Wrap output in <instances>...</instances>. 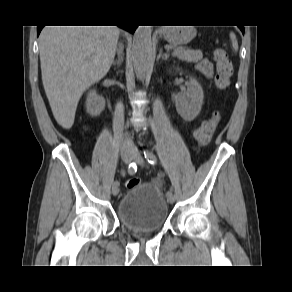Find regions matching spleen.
I'll use <instances>...</instances> for the list:
<instances>
[{
  "mask_svg": "<svg viewBox=\"0 0 292 292\" xmlns=\"http://www.w3.org/2000/svg\"><path fill=\"white\" fill-rule=\"evenodd\" d=\"M230 39H231V43H232L233 50L235 52H237V50H238V43H237V39H236V36H235L234 33H230Z\"/></svg>",
  "mask_w": 292,
  "mask_h": 292,
  "instance_id": "1",
  "label": "spleen"
}]
</instances>
